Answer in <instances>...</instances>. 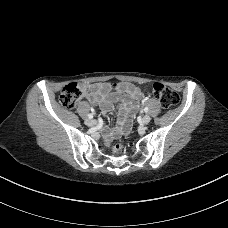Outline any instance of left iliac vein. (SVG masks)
I'll list each match as a JSON object with an SVG mask.
<instances>
[{"instance_id":"1","label":"left iliac vein","mask_w":228,"mask_h":228,"mask_svg":"<svg viewBox=\"0 0 228 228\" xmlns=\"http://www.w3.org/2000/svg\"><path fill=\"white\" fill-rule=\"evenodd\" d=\"M151 121V117L149 115H145L142 119V123L147 125Z\"/></svg>"}]
</instances>
